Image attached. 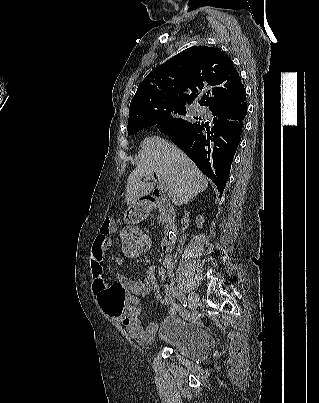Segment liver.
<instances>
[{
    "mask_svg": "<svg viewBox=\"0 0 319 403\" xmlns=\"http://www.w3.org/2000/svg\"><path fill=\"white\" fill-rule=\"evenodd\" d=\"M139 163L130 173L126 184L125 200L132 205L154 189V184L143 182L144 176L153 172L164 182L174 205L187 204L208 187V180L186 154L159 136L141 142Z\"/></svg>",
    "mask_w": 319,
    "mask_h": 403,
    "instance_id": "liver-1",
    "label": "liver"
}]
</instances>
